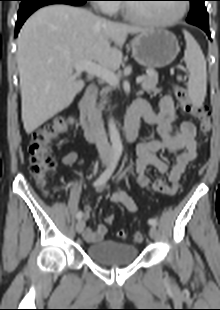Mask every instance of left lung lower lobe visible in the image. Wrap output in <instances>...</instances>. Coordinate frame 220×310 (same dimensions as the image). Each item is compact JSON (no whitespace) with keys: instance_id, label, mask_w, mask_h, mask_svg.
Returning a JSON list of instances; mask_svg holds the SVG:
<instances>
[{"instance_id":"1","label":"left lung lower lobe","mask_w":220,"mask_h":310,"mask_svg":"<svg viewBox=\"0 0 220 310\" xmlns=\"http://www.w3.org/2000/svg\"><path fill=\"white\" fill-rule=\"evenodd\" d=\"M200 28L206 32V34L208 35L209 38H211L210 32H209V27H200Z\"/></svg>"}]
</instances>
